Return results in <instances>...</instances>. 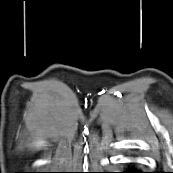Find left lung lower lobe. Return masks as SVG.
Masks as SVG:
<instances>
[{
  "instance_id": "left-lung-lower-lobe-1",
  "label": "left lung lower lobe",
  "mask_w": 173,
  "mask_h": 173,
  "mask_svg": "<svg viewBox=\"0 0 173 173\" xmlns=\"http://www.w3.org/2000/svg\"><path fill=\"white\" fill-rule=\"evenodd\" d=\"M124 173H142V172L136 171L135 168H129V172H124Z\"/></svg>"
}]
</instances>
